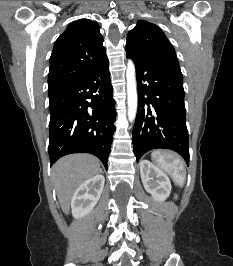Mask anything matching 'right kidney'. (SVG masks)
Masks as SVG:
<instances>
[{
	"mask_svg": "<svg viewBox=\"0 0 233 266\" xmlns=\"http://www.w3.org/2000/svg\"><path fill=\"white\" fill-rule=\"evenodd\" d=\"M104 183V176L97 174L76 189L71 201L73 217L82 218L95 207L100 199Z\"/></svg>",
	"mask_w": 233,
	"mask_h": 266,
	"instance_id": "1",
	"label": "right kidney"
}]
</instances>
